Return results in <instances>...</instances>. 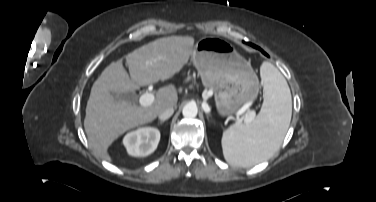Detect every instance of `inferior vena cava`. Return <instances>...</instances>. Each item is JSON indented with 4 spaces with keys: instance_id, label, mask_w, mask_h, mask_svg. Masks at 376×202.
<instances>
[{
    "instance_id": "inferior-vena-cava-1",
    "label": "inferior vena cava",
    "mask_w": 376,
    "mask_h": 202,
    "mask_svg": "<svg viewBox=\"0 0 376 202\" xmlns=\"http://www.w3.org/2000/svg\"><path fill=\"white\" fill-rule=\"evenodd\" d=\"M174 113V109L172 107L170 108H167L165 109L164 111H162L158 117L161 121H165L167 119H169Z\"/></svg>"
}]
</instances>
